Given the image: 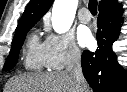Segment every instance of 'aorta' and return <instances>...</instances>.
<instances>
[{
    "label": "aorta",
    "mask_w": 127,
    "mask_h": 92,
    "mask_svg": "<svg viewBox=\"0 0 127 92\" xmlns=\"http://www.w3.org/2000/svg\"><path fill=\"white\" fill-rule=\"evenodd\" d=\"M78 0H55L52 8V27L57 33H65L72 26Z\"/></svg>",
    "instance_id": "1"
}]
</instances>
